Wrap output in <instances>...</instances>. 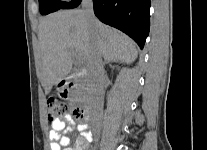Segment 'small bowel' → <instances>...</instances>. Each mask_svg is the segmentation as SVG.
<instances>
[{
	"label": "small bowel",
	"mask_w": 207,
	"mask_h": 150,
	"mask_svg": "<svg viewBox=\"0 0 207 150\" xmlns=\"http://www.w3.org/2000/svg\"><path fill=\"white\" fill-rule=\"evenodd\" d=\"M51 131L49 133L51 150H88L93 140V135L89 131L86 123L77 124L71 115H67L65 120L56 119L51 121ZM77 134L74 145H70L69 134Z\"/></svg>",
	"instance_id": "small-bowel-1"
}]
</instances>
